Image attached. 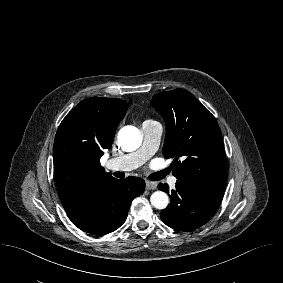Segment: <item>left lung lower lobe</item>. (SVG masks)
Masks as SVG:
<instances>
[{"instance_id": "left-lung-lower-lobe-1", "label": "left lung lower lobe", "mask_w": 283, "mask_h": 283, "mask_svg": "<svg viewBox=\"0 0 283 283\" xmlns=\"http://www.w3.org/2000/svg\"><path fill=\"white\" fill-rule=\"evenodd\" d=\"M158 188L169 194L171 203L161 211L162 221L180 231H191L207 223L218 210L223 195L206 192L193 184L177 180L176 189L167 184Z\"/></svg>"}]
</instances>
